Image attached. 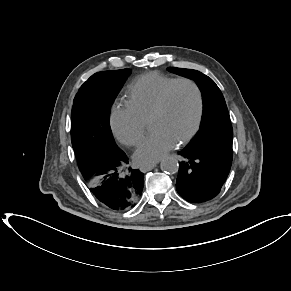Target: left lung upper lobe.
Returning a JSON list of instances; mask_svg holds the SVG:
<instances>
[{
  "label": "left lung upper lobe",
  "instance_id": "5c2ea615",
  "mask_svg": "<svg viewBox=\"0 0 291 291\" xmlns=\"http://www.w3.org/2000/svg\"><path fill=\"white\" fill-rule=\"evenodd\" d=\"M175 74L194 80L202 94L203 116L199 131L186 146L232 158L233 129L224 97L215 82L191 69L169 67Z\"/></svg>",
  "mask_w": 291,
  "mask_h": 291
}]
</instances>
